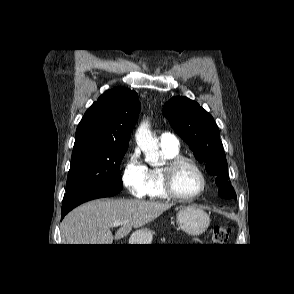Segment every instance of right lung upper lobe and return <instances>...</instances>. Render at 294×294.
<instances>
[{
  "label": "right lung upper lobe",
  "mask_w": 294,
  "mask_h": 294,
  "mask_svg": "<svg viewBox=\"0 0 294 294\" xmlns=\"http://www.w3.org/2000/svg\"><path fill=\"white\" fill-rule=\"evenodd\" d=\"M139 109L140 102L135 91L123 87L107 90L80 121L74 147H128Z\"/></svg>",
  "instance_id": "right-lung-upper-lobe-1"
}]
</instances>
